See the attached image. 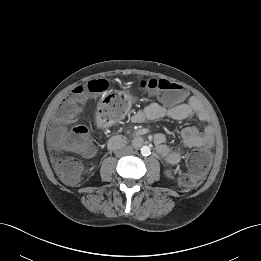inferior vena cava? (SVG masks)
I'll return each mask as SVG.
<instances>
[{"label":"inferior vena cava","instance_id":"602c4592","mask_svg":"<svg viewBox=\"0 0 261 261\" xmlns=\"http://www.w3.org/2000/svg\"><path fill=\"white\" fill-rule=\"evenodd\" d=\"M120 152L124 155L132 154L133 148L131 146H125V147L121 148Z\"/></svg>","mask_w":261,"mask_h":261}]
</instances>
